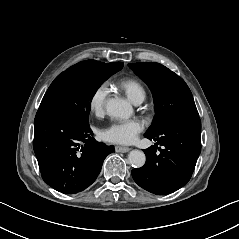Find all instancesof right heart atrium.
I'll use <instances>...</instances> for the list:
<instances>
[{"label": "right heart atrium", "instance_id": "obj_1", "mask_svg": "<svg viewBox=\"0 0 239 239\" xmlns=\"http://www.w3.org/2000/svg\"><path fill=\"white\" fill-rule=\"evenodd\" d=\"M108 93L109 87L107 83H100L92 90L88 105L93 114L100 115L105 111Z\"/></svg>", "mask_w": 239, "mask_h": 239}]
</instances>
